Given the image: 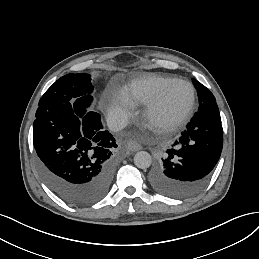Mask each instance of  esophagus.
Here are the masks:
<instances>
[{
    "instance_id": "obj_1",
    "label": "esophagus",
    "mask_w": 259,
    "mask_h": 259,
    "mask_svg": "<svg viewBox=\"0 0 259 259\" xmlns=\"http://www.w3.org/2000/svg\"><path fill=\"white\" fill-rule=\"evenodd\" d=\"M126 146L130 151H139L142 149V146L134 140H128Z\"/></svg>"
}]
</instances>
